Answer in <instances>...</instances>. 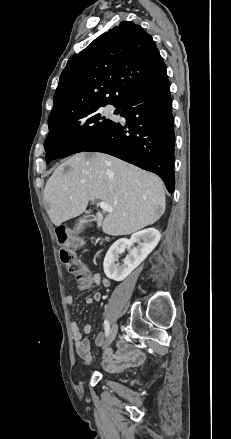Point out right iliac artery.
<instances>
[{"label":"right iliac artery","mask_w":231,"mask_h":439,"mask_svg":"<svg viewBox=\"0 0 231 439\" xmlns=\"http://www.w3.org/2000/svg\"><path fill=\"white\" fill-rule=\"evenodd\" d=\"M104 328H105V335H106V337H108L109 332H110V325H109L108 320L104 321Z\"/></svg>","instance_id":"right-iliac-artery-1"}]
</instances>
